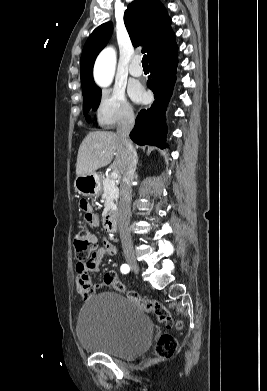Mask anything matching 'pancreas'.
Here are the masks:
<instances>
[{
    "instance_id": "1",
    "label": "pancreas",
    "mask_w": 267,
    "mask_h": 391,
    "mask_svg": "<svg viewBox=\"0 0 267 391\" xmlns=\"http://www.w3.org/2000/svg\"><path fill=\"white\" fill-rule=\"evenodd\" d=\"M100 180L104 191V198L110 199L113 202L112 207H114L119 196L118 182L111 176H101Z\"/></svg>"
}]
</instances>
